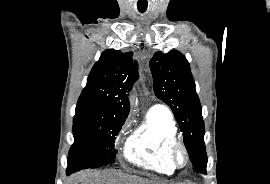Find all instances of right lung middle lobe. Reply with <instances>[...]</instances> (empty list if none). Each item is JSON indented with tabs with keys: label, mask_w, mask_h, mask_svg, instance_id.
Returning <instances> with one entry per match:
<instances>
[{
	"label": "right lung middle lobe",
	"mask_w": 270,
	"mask_h": 184,
	"mask_svg": "<svg viewBox=\"0 0 270 184\" xmlns=\"http://www.w3.org/2000/svg\"><path fill=\"white\" fill-rule=\"evenodd\" d=\"M124 122L97 115L91 107L77 104L73 119L74 144L68 155L67 173L113 163L117 153L115 136Z\"/></svg>",
	"instance_id": "right-lung-middle-lobe-1"
}]
</instances>
